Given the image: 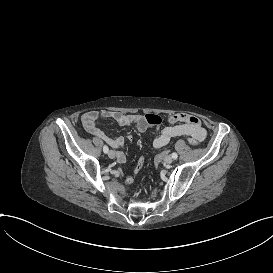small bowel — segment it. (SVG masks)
Here are the masks:
<instances>
[{
  "label": "small bowel",
  "instance_id": "obj_1",
  "mask_svg": "<svg viewBox=\"0 0 273 273\" xmlns=\"http://www.w3.org/2000/svg\"><path fill=\"white\" fill-rule=\"evenodd\" d=\"M99 119L112 120L121 126H134L139 132H145L148 130L149 125L146 123L145 118L140 113H122L119 111L104 110L101 112L91 111L87 112L82 116V124L84 129L96 137L102 140L111 148L117 150V160L119 163L126 161V154L121 150L127 141H132L131 135L124 137H113L107 134L104 130L98 127L97 121ZM169 125L164 127L159 135L154 139L153 146L155 149H161L165 147L172 139L176 137L185 136L188 138L191 144H198L202 142L206 136V129L202 126L200 119L195 116L178 113L168 118ZM169 155L168 151L163 153L155 154V170L154 173H159L160 160ZM124 175H127L125 169H122ZM124 185L127 188L132 187L133 176L128 174L126 176Z\"/></svg>",
  "mask_w": 273,
  "mask_h": 273
}]
</instances>
